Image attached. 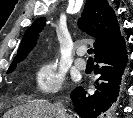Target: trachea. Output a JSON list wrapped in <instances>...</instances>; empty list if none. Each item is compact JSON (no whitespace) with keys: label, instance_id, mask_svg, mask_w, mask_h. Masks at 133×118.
I'll use <instances>...</instances> for the list:
<instances>
[{"label":"trachea","instance_id":"1","mask_svg":"<svg viewBox=\"0 0 133 118\" xmlns=\"http://www.w3.org/2000/svg\"><path fill=\"white\" fill-rule=\"evenodd\" d=\"M87 52H88V54H89V55H91V54L93 53V49H92V48H90V49H88V51H87ZM90 59H92V58L90 57Z\"/></svg>","mask_w":133,"mask_h":118}]
</instances>
